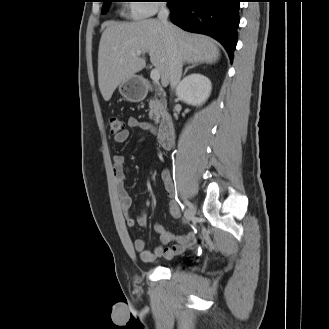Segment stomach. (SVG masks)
<instances>
[{"label":"stomach","instance_id":"obj_1","mask_svg":"<svg viewBox=\"0 0 329 329\" xmlns=\"http://www.w3.org/2000/svg\"><path fill=\"white\" fill-rule=\"evenodd\" d=\"M119 92L129 102H140L147 95V85L141 76L133 75L119 85Z\"/></svg>","mask_w":329,"mask_h":329}]
</instances>
